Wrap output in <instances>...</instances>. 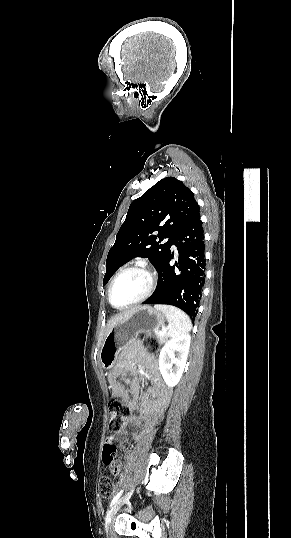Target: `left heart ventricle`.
<instances>
[{"label": "left heart ventricle", "mask_w": 291, "mask_h": 538, "mask_svg": "<svg viewBox=\"0 0 291 538\" xmlns=\"http://www.w3.org/2000/svg\"><path fill=\"white\" fill-rule=\"evenodd\" d=\"M149 285L148 277L140 271L122 274L112 290V301L117 306L128 304L142 296Z\"/></svg>", "instance_id": "obj_1"}]
</instances>
